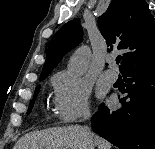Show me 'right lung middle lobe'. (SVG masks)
<instances>
[{
	"instance_id": "right-lung-middle-lobe-1",
	"label": "right lung middle lobe",
	"mask_w": 155,
	"mask_h": 149,
	"mask_svg": "<svg viewBox=\"0 0 155 149\" xmlns=\"http://www.w3.org/2000/svg\"><path fill=\"white\" fill-rule=\"evenodd\" d=\"M46 77H40V81L44 80ZM39 89H40V85L37 86V88L35 89V95H37V93L39 92ZM33 104H34V99L31 101L30 103V106L28 108V112L31 111L32 107H33Z\"/></svg>"
}]
</instances>
